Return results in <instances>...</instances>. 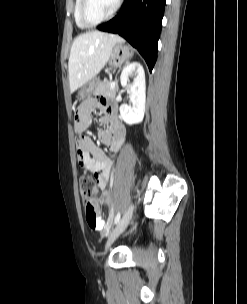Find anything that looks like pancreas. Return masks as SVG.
I'll return each mask as SVG.
<instances>
[{
    "instance_id": "1",
    "label": "pancreas",
    "mask_w": 247,
    "mask_h": 304,
    "mask_svg": "<svg viewBox=\"0 0 247 304\" xmlns=\"http://www.w3.org/2000/svg\"><path fill=\"white\" fill-rule=\"evenodd\" d=\"M111 83L112 82L110 80H104L102 82H98L93 91V94L95 96L114 98L118 90V86L115 85L113 88H111Z\"/></svg>"
}]
</instances>
